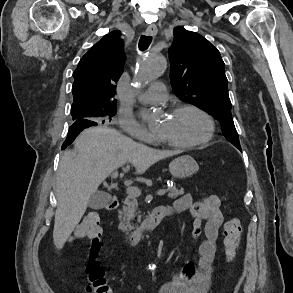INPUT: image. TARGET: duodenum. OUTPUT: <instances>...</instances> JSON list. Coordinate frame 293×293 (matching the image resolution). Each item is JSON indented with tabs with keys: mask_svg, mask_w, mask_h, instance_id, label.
<instances>
[{
	"mask_svg": "<svg viewBox=\"0 0 293 293\" xmlns=\"http://www.w3.org/2000/svg\"><path fill=\"white\" fill-rule=\"evenodd\" d=\"M120 204V199L117 195H113L107 205L109 210H115ZM178 211L172 206H157L153 208L145 220V222L138 228L132 229L125 233L124 239L130 247H135L139 239L148 231L153 230L161 220L171 214H176Z\"/></svg>",
	"mask_w": 293,
	"mask_h": 293,
	"instance_id": "410a0bca",
	"label": "duodenum"
}]
</instances>
